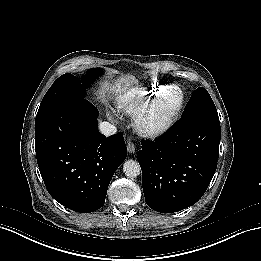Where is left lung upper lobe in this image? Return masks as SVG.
I'll use <instances>...</instances> for the list:
<instances>
[{"mask_svg":"<svg viewBox=\"0 0 261 261\" xmlns=\"http://www.w3.org/2000/svg\"><path fill=\"white\" fill-rule=\"evenodd\" d=\"M197 115L218 117L213 100L211 99L208 91L202 87L197 88L193 92L189 102L186 105L181 120Z\"/></svg>","mask_w":261,"mask_h":261,"instance_id":"5c2ea615","label":"left lung upper lobe"}]
</instances>
